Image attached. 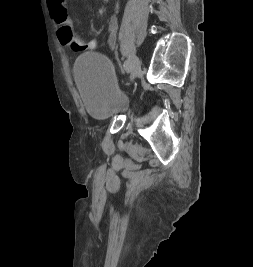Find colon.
Wrapping results in <instances>:
<instances>
[{"label": "colon", "instance_id": "1", "mask_svg": "<svg viewBox=\"0 0 253 267\" xmlns=\"http://www.w3.org/2000/svg\"><path fill=\"white\" fill-rule=\"evenodd\" d=\"M57 38L61 45L69 47L75 52L94 50L96 48L95 41H85L75 35L71 26L62 25L57 31Z\"/></svg>", "mask_w": 253, "mask_h": 267}]
</instances>
